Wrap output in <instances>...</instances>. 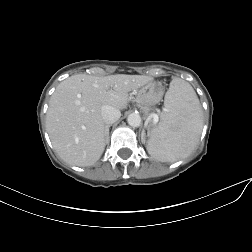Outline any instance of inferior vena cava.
Returning <instances> with one entry per match:
<instances>
[{"label": "inferior vena cava", "instance_id": "obj_1", "mask_svg": "<svg viewBox=\"0 0 252 252\" xmlns=\"http://www.w3.org/2000/svg\"><path fill=\"white\" fill-rule=\"evenodd\" d=\"M101 115L104 123L112 124L120 118L121 112L113 106L103 105L101 108Z\"/></svg>", "mask_w": 252, "mask_h": 252}]
</instances>
